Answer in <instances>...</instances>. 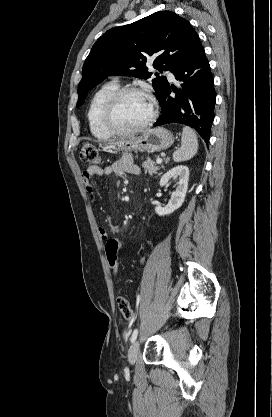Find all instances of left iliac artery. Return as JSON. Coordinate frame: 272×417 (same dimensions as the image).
Here are the masks:
<instances>
[{
    "mask_svg": "<svg viewBox=\"0 0 272 417\" xmlns=\"http://www.w3.org/2000/svg\"><path fill=\"white\" fill-rule=\"evenodd\" d=\"M137 335H138V329H135V330L133 331V333H132L131 338H130L131 343H134V342H135V340H136V338H137Z\"/></svg>",
    "mask_w": 272,
    "mask_h": 417,
    "instance_id": "obj_1",
    "label": "left iliac artery"
}]
</instances>
